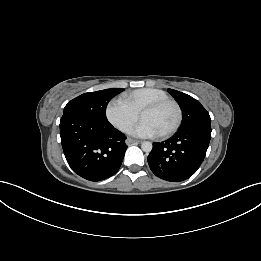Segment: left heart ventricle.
<instances>
[{"instance_id":"obj_1","label":"left heart ventricle","mask_w":261,"mask_h":261,"mask_svg":"<svg viewBox=\"0 0 261 261\" xmlns=\"http://www.w3.org/2000/svg\"><path fill=\"white\" fill-rule=\"evenodd\" d=\"M176 116V109L172 105H166L157 110L145 111L141 114L142 120L152 122L162 133L174 124Z\"/></svg>"}]
</instances>
